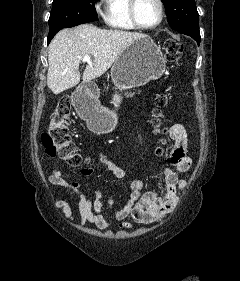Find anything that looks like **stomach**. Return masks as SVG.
I'll return each mask as SVG.
<instances>
[{"mask_svg": "<svg viewBox=\"0 0 240 281\" xmlns=\"http://www.w3.org/2000/svg\"><path fill=\"white\" fill-rule=\"evenodd\" d=\"M164 71L165 60L159 47L145 35L120 54L111 68V78L116 89L125 90L158 79ZM121 99L119 95H114V106L117 107ZM80 114L96 133H109L117 124V115L113 110L101 107L91 99L80 109Z\"/></svg>", "mask_w": 240, "mask_h": 281, "instance_id": "obj_1", "label": "stomach"}]
</instances>
